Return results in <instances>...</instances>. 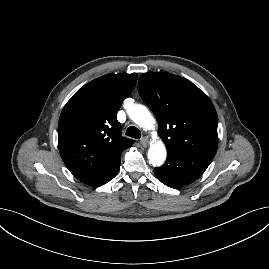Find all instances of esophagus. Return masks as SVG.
<instances>
[{
    "label": "esophagus",
    "instance_id": "34e87169",
    "mask_svg": "<svg viewBox=\"0 0 269 269\" xmlns=\"http://www.w3.org/2000/svg\"><path fill=\"white\" fill-rule=\"evenodd\" d=\"M140 143L143 147H147L149 145V138L147 136L142 137Z\"/></svg>",
    "mask_w": 269,
    "mask_h": 269
}]
</instances>
